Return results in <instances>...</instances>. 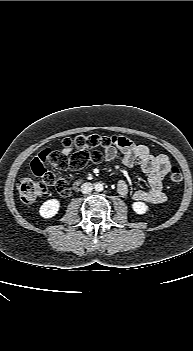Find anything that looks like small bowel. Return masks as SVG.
Segmentation results:
<instances>
[{"label": "small bowel", "mask_w": 193, "mask_h": 351, "mask_svg": "<svg viewBox=\"0 0 193 351\" xmlns=\"http://www.w3.org/2000/svg\"><path fill=\"white\" fill-rule=\"evenodd\" d=\"M114 146L104 151V159L113 161L117 158L118 151L121 152L120 160L128 167L138 164L143 172L147 174L149 188L136 189L132 193L135 201L151 204H161L165 202L166 195L163 191V179L168 173L170 160L164 154L154 155L146 145L136 144L122 136H113ZM71 147H64L62 154L68 156ZM117 191L122 196L130 193L129 186L125 180H119Z\"/></svg>", "instance_id": "1"}]
</instances>
